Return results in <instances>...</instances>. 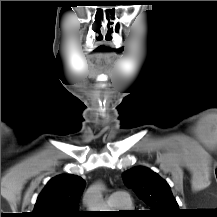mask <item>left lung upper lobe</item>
<instances>
[{
	"mask_svg": "<svg viewBox=\"0 0 217 217\" xmlns=\"http://www.w3.org/2000/svg\"><path fill=\"white\" fill-rule=\"evenodd\" d=\"M123 181L151 210V217H178L180 209L169 184L146 167H134L122 174Z\"/></svg>",
	"mask_w": 217,
	"mask_h": 217,
	"instance_id": "5c2ea615",
	"label": "left lung upper lobe"
}]
</instances>
